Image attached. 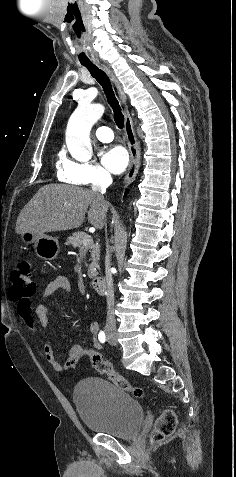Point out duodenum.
Segmentation results:
<instances>
[{"label":"duodenum","instance_id":"obj_1","mask_svg":"<svg viewBox=\"0 0 236 477\" xmlns=\"http://www.w3.org/2000/svg\"><path fill=\"white\" fill-rule=\"evenodd\" d=\"M93 290L99 294L103 295L106 293L107 290V283L104 277H95L92 279L91 282Z\"/></svg>","mask_w":236,"mask_h":477}]
</instances>
